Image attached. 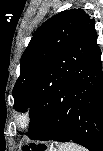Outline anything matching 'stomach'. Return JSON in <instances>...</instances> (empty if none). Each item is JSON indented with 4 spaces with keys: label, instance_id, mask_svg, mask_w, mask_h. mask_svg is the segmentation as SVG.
<instances>
[{
    "label": "stomach",
    "instance_id": "obj_1",
    "mask_svg": "<svg viewBox=\"0 0 103 151\" xmlns=\"http://www.w3.org/2000/svg\"><path fill=\"white\" fill-rule=\"evenodd\" d=\"M42 149H45L46 151H54L53 148H46V146H43Z\"/></svg>",
    "mask_w": 103,
    "mask_h": 151
}]
</instances>
